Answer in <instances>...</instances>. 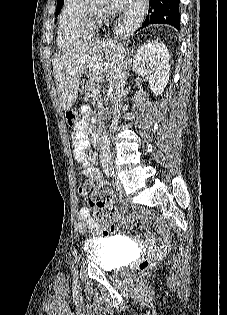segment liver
Instances as JSON below:
<instances>
[{"instance_id": "6515ba94", "label": "liver", "mask_w": 227, "mask_h": 315, "mask_svg": "<svg viewBox=\"0 0 227 315\" xmlns=\"http://www.w3.org/2000/svg\"><path fill=\"white\" fill-rule=\"evenodd\" d=\"M124 51L123 46L115 41L98 40L57 54L52 64L62 109L68 111L76 102L80 79L86 69L95 74L113 72Z\"/></svg>"}]
</instances>
